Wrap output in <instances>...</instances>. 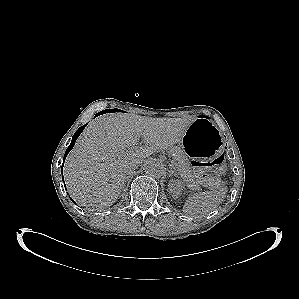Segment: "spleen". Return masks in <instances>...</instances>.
Masks as SVG:
<instances>
[{
  "label": "spleen",
  "instance_id": "3e777b00",
  "mask_svg": "<svg viewBox=\"0 0 299 299\" xmlns=\"http://www.w3.org/2000/svg\"><path fill=\"white\" fill-rule=\"evenodd\" d=\"M226 186L190 195L184 203L183 212L191 217L200 218L215 210L224 200Z\"/></svg>",
  "mask_w": 299,
  "mask_h": 299
}]
</instances>
